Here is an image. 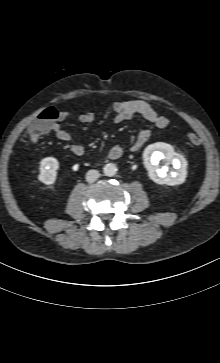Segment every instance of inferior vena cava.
Here are the masks:
<instances>
[{
	"label": "inferior vena cava",
	"mask_w": 220,
	"mask_h": 363,
	"mask_svg": "<svg viewBox=\"0 0 220 363\" xmlns=\"http://www.w3.org/2000/svg\"><path fill=\"white\" fill-rule=\"evenodd\" d=\"M100 177V173L97 170H89L86 174V181L89 183L95 182Z\"/></svg>",
	"instance_id": "obj_1"
}]
</instances>
